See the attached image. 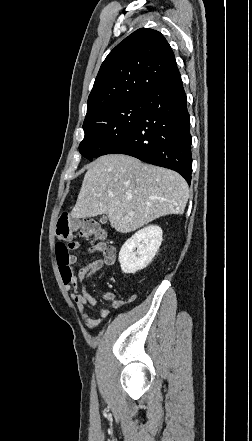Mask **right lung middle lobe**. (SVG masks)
<instances>
[{
  "label": "right lung middle lobe",
  "instance_id": "1",
  "mask_svg": "<svg viewBox=\"0 0 252 441\" xmlns=\"http://www.w3.org/2000/svg\"><path fill=\"white\" fill-rule=\"evenodd\" d=\"M144 110L141 98L101 110L83 123L85 137L79 145L82 156L92 161L126 136Z\"/></svg>",
  "mask_w": 252,
  "mask_h": 441
}]
</instances>
